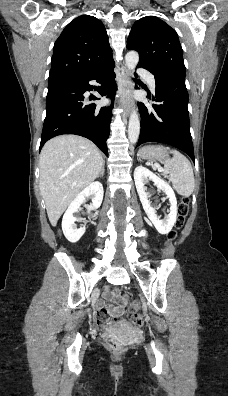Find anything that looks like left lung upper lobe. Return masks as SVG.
<instances>
[{"mask_svg":"<svg viewBox=\"0 0 228 396\" xmlns=\"http://www.w3.org/2000/svg\"><path fill=\"white\" fill-rule=\"evenodd\" d=\"M127 48L140 54L138 67L156 78L173 77L185 80L182 47L173 28L161 19L146 16L132 26Z\"/></svg>","mask_w":228,"mask_h":396,"instance_id":"left-lung-upper-lobe-1","label":"left lung upper lobe"}]
</instances>
